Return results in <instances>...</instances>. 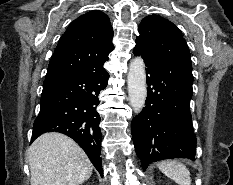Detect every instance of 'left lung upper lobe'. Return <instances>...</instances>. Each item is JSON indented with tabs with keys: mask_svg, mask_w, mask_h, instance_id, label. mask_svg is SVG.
Instances as JSON below:
<instances>
[{
	"mask_svg": "<svg viewBox=\"0 0 233 185\" xmlns=\"http://www.w3.org/2000/svg\"><path fill=\"white\" fill-rule=\"evenodd\" d=\"M136 48L146 57L192 70L189 48L179 28L158 15L145 17L138 27Z\"/></svg>",
	"mask_w": 233,
	"mask_h": 185,
	"instance_id": "left-lung-upper-lobe-1",
	"label": "left lung upper lobe"
}]
</instances>
